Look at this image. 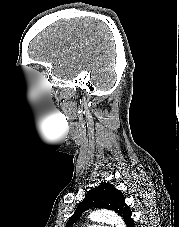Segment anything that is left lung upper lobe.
<instances>
[{"instance_id":"1","label":"left lung upper lobe","mask_w":179,"mask_h":227,"mask_svg":"<svg viewBox=\"0 0 179 227\" xmlns=\"http://www.w3.org/2000/svg\"><path fill=\"white\" fill-rule=\"evenodd\" d=\"M91 207L115 211L123 218L127 227L130 224H134L131 218V210L125 203L122 192L114 188L110 183H104L87 192L84 200L77 206L74 214L69 218L66 227L76 223L81 213Z\"/></svg>"}]
</instances>
